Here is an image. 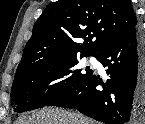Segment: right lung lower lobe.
Here are the masks:
<instances>
[{
    "mask_svg": "<svg viewBox=\"0 0 145 124\" xmlns=\"http://www.w3.org/2000/svg\"><path fill=\"white\" fill-rule=\"evenodd\" d=\"M96 59L107 68L105 82L92 71L46 106L75 108L106 124H135L145 109V35L137 25L105 45Z\"/></svg>",
    "mask_w": 145,
    "mask_h": 124,
    "instance_id": "1",
    "label": "right lung lower lobe"
}]
</instances>
